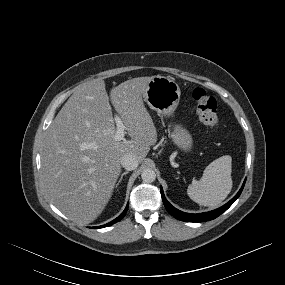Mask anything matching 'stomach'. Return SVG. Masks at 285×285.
I'll return each mask as SVG.
<instances>
[{
    "label": "stomach",
    "mask_w": 285,
    "mask_h": 285,
    "mask_svg": "<svg viewBox=\"0 0 285 285\" xmlns=\"http://www.w3.org/2000/svg\"><path fill=\"white\" fill-rule=\"evenodd\" d=\"M180 87L173 80L164 76H153L143 94L144 101L157 113L164 116L173 115L180 101ZM174 144L183 152L192 150L191 134L182 125L175 124L171 133Z\"/></svg>",
    "instance_id": "0dacf381"
}]
</instances>
